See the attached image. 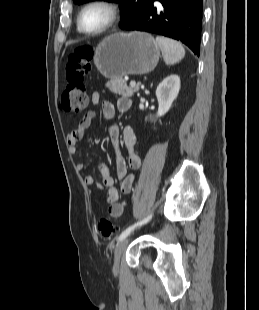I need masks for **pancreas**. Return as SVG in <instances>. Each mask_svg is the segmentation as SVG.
<instances>
[{
    "mask_svg": "<svg viewBox=\"0 0 259 310\" xmlns=\"http://www.w3.org/2000/svg\"><path fill=\"white\" fill-rule=\"evenodd\" d=\"M106 87L111 92L122 95L123 97H131L139 90V85H136L134 87H128L126 81L122 78L110 80L109 82H107Z\"/></svg>",
    "mask_w": 259,
    "mask_h": 310,
    "instance_id": "cf45deb5",
    "label": "pancreas"
}]
</instances>
